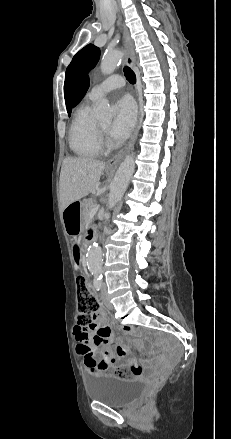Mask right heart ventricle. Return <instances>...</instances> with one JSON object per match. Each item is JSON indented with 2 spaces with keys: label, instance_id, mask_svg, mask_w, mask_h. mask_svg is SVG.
Masks as SVG:
<instances>
[{
  "label": "right heart ventricle",
  "instance_id": "right-heart-ventricle-1",
  "mask_svg": "<svg viewBox=\"0 0 231 439\" xmlns=\"http://www.w3.org/2000/svg\"><path fill=\"white\" fill-rule=\"evenodd\" d=\"M69 147L81 158H94L101 152L98 124L91 116L88 103L81 104L74 112L69 130Z\"/></svg>",
  "mask_w": 231,
  "mask_h": 439
}]
</instances>
